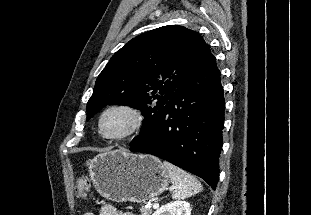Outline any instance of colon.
I'll use <instances>...</instances> for the list:
<instances>
[{
    "mask_svg": "<svg viewBox=\"0 0 311 215\" xmlns=\"http://www.w3.org/2000/svg\"><path fill=\"white\" fill-rule=\"evenodd\" d=\"M89 181L87 177L82 176L78 179L75 192L79 198H85L89 193Z\"/></svg>",
    "mask_w": 311,
    "mask_h": 215,
    "instance_id": "5ec220e1",
    "label": "colon"
}]
</instances>
